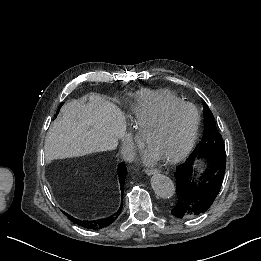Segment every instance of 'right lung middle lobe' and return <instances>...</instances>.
<instances>
[{
  "label": "right lung middle lobe",
  "instance_id": "right-lung-middle-lobe-1",
  "mask_svg": "<svg viewBox=\"0 0 261 261\" xmlns=\"http://www.w3.org/2000/svg\"><path fill=\"white\" fill-rule=\"evenodd\" d=\"M60 107H61V105H60ZM60 107L58 108L57 113L59 112Z\"/></svg>",
  "mask_w": 261,
  "mask_h": 261
}]
</instances>
